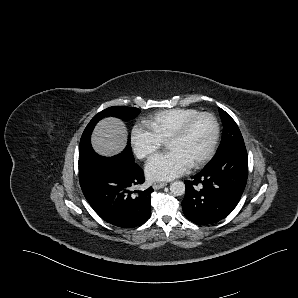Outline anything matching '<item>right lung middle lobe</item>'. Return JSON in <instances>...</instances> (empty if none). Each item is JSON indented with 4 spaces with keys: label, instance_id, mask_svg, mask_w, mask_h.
I'll return each mask as SVG.
<instances>
[{
    "label": "right lung middle lobe",
    "instance_id": "obj_1",
    "mask_svg": "<svg viewBox=\"0 0 298 298\" xmlns=\"http://www.w3.org/2000/svg\"><path fill=\"white\" fill-rule=\"evenodd\" d=\"M139 113L140 110L138 108L126 106H113L106 108L105 110L96 114L85 128L81 137L79 145V168L82 169L88 166V164L91 163L94 157L96 156V153L91 147L90 137L93 128L99 120L108 116H115L122 120H130L138 116ZM119 155L122 157H126L128 160L134 161L130 146V137L128 138V144L125 150Z\"/></svg>",
    "mask_w": 298,
    "mask_h": 298
}]
</instances>
